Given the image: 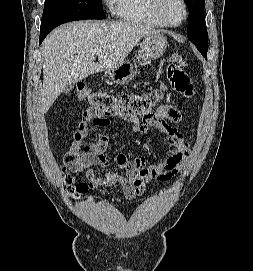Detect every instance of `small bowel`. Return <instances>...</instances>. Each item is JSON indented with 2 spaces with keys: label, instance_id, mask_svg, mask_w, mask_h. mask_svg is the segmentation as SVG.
Wrapping results in <instances>:
<instances>
[{
  "label": "small bowel",
  "instance_id": "1",
  "mask_svg": "<svg viewBox=\"0 0 253 271\" xmlns=\"http://www.w3.org/2000/svg\"><path fill=\"white\" fill-rule=\"evenodd\" d=\"M170 72L171 68H168L172 82ZM182 95L189 98L185 94ZM112 116L128 123L131 133L148 134L152 129L161 132L169 145V153L155 165H147L143 156L129 159L125 153H118L114 157V163L122 172L105 171L102 176H98L97 168L106 167L108 164L105 153L110 144L109 137L101 135L96 143H86L84 139L90 125L105 126L109 124V120L103 115L87 110L74 132L70 148L64 156L65 164L73 172L85 171L88 180L85 191L120 185L124 198L131 200L144 192L147 183L168 181L177 175L190 152V144L186 141L184 134L168 123H178L182 120V111L179 106L169 101L142 119L133 114L120 112H115Z\"/></svg>",
  "mask_w": 253,
  "mask_h": 271
}]
</instances>
